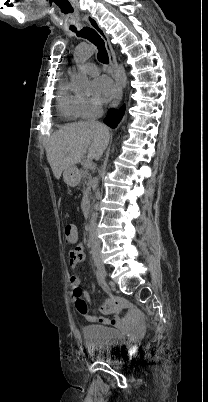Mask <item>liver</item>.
<instances>
[{"instance_id": "obj_1", "label": "liver", "mask_w": 208, "mask_h": 402, "mask_svg": "<svg viewBox=\"0 0 208 402\" xmlns=\"http://www.w3.org/2000/svg\"><path fill=\"white\" fill-rule=\"evenodd\" d=\"M109 140L107 126L98 122L69 124L54 132L47 146V160L56 180L63 170L74 168L87 150L89 160H100Z\"/></svg>"}]
</instances>
